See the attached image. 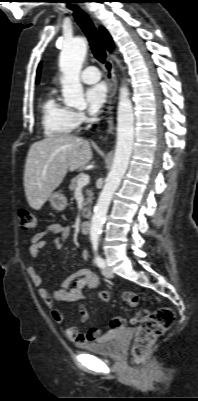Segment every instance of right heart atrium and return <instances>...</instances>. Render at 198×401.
<instances>
[{"mask_svg": "<svg viewBox=\"0 0 198 401\" xmlns=\"http://www.w3.org/2000/svg\"><path fill=\"white\" fill-rule=\"evenodd\" d=\"M75 123L77 126L81 125L83 122L86 121V115L82 111H75L73 112Z\"/></svg>", "mask_w": 198, "mask_h": 401, "instance_id": "1", "label": "right heart atrium"}]
</instances>
